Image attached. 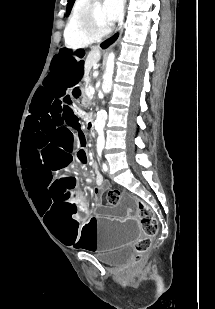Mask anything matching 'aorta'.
Wrapping results in <instances>:
<instances>
[{"label": "aorta", "instance_id": "aorta-1", "mask_svg": "<svg viewBox=\"0 0 215 309\" xmlns=\"http://www.w3.org/2000/svg\"><path fill=\"white\" fill-rule=\"evenodd\" d=\"M114 58L115 54L114 52H110L108 54L107 62H106V70L103 74V84H102V90L103 92H109L112 88V76L114 72ZM107 118V112L106 110H98L97 112V118H96V130L98 132V138H97V148H104L105 144V136H104V126H105V120Z\"/></svg>", "mask_w": 215, "mask_h": 309}]
</instances>
